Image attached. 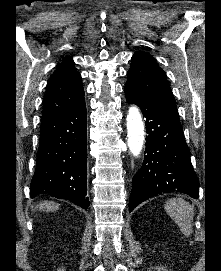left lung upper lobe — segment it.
Here are the masks:
<instances>
[{
  "instance_id": "5c2ea615",
  "label": "left lung upper lobe",
  "mask_w": 221,
  "mask_h": 271,
  "mask_svg": "<svg viewBox=\"0 0 221 271\" xmlns=\"http://www.w3.org/2000/svg\"><path fill=\"white\" fill-rule=\"evenodd\" d=\"M127 80V85L142 92L152 103L179 117L166 74L150 54L137 52L132 56Z\"/></svg>"
}]
</instances>
